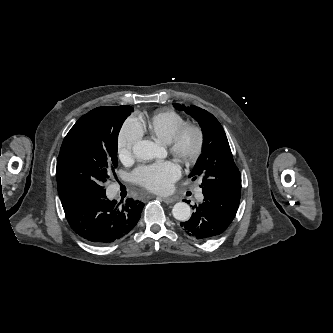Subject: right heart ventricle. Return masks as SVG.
I'll list each match as a JSON object with an SVG mask.
<instances>
[{
  "label": "right heart ventricle",
  "instance_id": "right-heart-ventricle-1",
  "mask_svg": "<svg viewBox=\"0 0 333 333\" xmlns=\"http://www.w3.org/2000/svg\"><path fill=\"white\" fill-rule=\"evenodd\" d=\"M184 123V118L175 111L161 110L153 113L148 120L142 123L141 128L169 144L176 130Z\"/></svg>",
  "mask_w": 333,
  "mask_h": 333
}]
</instances>
